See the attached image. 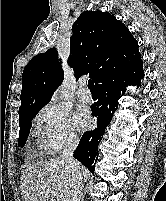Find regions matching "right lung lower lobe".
<instances>
[{
	"label": "right lung lower lobe",
	"instance_id": "98d812e1",
	"mask_svg": "<svg viewBox=\"0 0 166 201\" xmlns=\"http://www.w3.org/2000/svg\"><path fill=\"white\" fill-rule=\"evenodd\" d=\"M143 61L141 58L135 63L108 72L96 85L99 100L92 108V115L97 117L98 127L93 131L83 134L74 157L88 170L94 172L96 148L103 137L106 126L111 122L114 112L118 107V100L124 94L127 85L140 86L143 79Z\"/></svg>",
	"mask_w": 166,
	"mask_h": 201
}]
</instances>
